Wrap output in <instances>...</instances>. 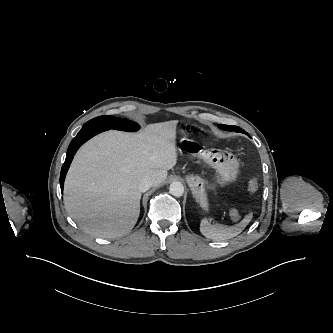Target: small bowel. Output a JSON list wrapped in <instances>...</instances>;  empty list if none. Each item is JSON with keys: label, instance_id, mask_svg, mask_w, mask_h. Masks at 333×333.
I'll list each match as a JSON object with an SVG mask.
<instances>
[{"label": "small bowel", "instance_id": "c3829d8e", "mask_svg": "<svg viewBox=\"0 0 333 333\" xmlns=\"http://www.w3.org/2000/svg\"><path fill=\"white\" fill-rule=\"evenodd\" d=\"M183 129L185 130V131H195V130H197V127H195L194 125H191V124H186V125H184L183 126Z\"/></svg>", "mask_w": 333, "mask_h": 333}]
</instances>
